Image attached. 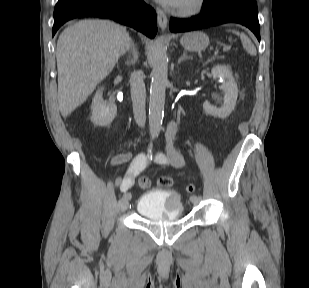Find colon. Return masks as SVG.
Wrapping results in <instances>:
<instances>
[{
  "instance_id": "5ec220e1",
  "label": "colon",
  "mask_w": 309,
  "mask_h": 288,
  "mask_svg": "<svg viewBox=\"0 0 309 288\" xmlns=\"http://www.w3.org/2000/svg\"><path fill=\"white\" fill-rule=\"evenodd\" d=\"M174 183L173 178L169 177V176H161L157 179V185L161 188H168L170 186H172ZM139 185L141 187H147L150 185V180L147 177H142L139 179ZM196 190L195 184L194 183H189L186 186V191L189 194H193Z\"/></svg>"
}]
</instances>
